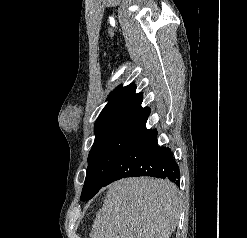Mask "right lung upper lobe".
Masks as SVG:
<instances>
[{"mask_svg":"<svg viewBox=\"0 0 247 238\" xmlns=\"http://www.w3.org/2000/svg\"><path fill=\"white\" fill-rule=\"evenodd\" d=\"M136 85L119 86L110 94L109 102L100 113L95 122V132L116 122L144 120L147 121L150 115L148 107L142 108L143 96L136 94Z\"/></svg>","mask_w":247,"mask_h":238,"instance_id":"cb5924a9","label":"right lung upper lobe"}]
</instances>
